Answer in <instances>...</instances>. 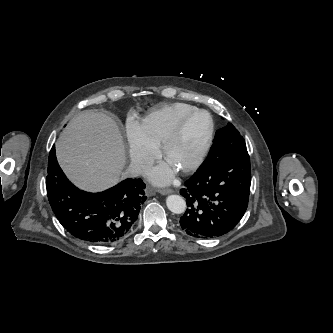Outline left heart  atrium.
Segmentation results:
<instances>
[{
	"mask_svg": "<svg viewBox=\"0 0 333 333\" xmlns=\"http://www.w3.org/2000/svg\"><path fill=\"white\" fill-rule=\"evenodd\" d=\"M173 177V168L169 164H162L150 172V179L157 185L168 184Z\"/></svg>",
	"mask_w": 333,
	"mask_h": 333,
	"instance_id": "left-heart-atrium-1",
	"label": "left heart atrium"
}]
</instances>
